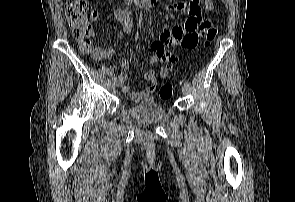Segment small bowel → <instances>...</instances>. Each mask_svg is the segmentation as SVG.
<instances>
[{
  "instance_id": "small-bowel-1",
  "label": "small bowel",
  "mask_w": 295,
  "mask_h": 202,
  "mask_svg": "<svg viewBox=\"0 0 295 202\" xmlns=\"http://www.w3.org/2000/svg\"><path fill=\"white\" fill-rule=\"evenodd\" d=\"M201 2L206 11L211 12L215 9L213 0H180L177 3L165 7V13L187 8L189 17L184 25H171L165 21L159 35V40L148 43V48H150L151 52H155L156 64H165L161 69L162 77H167L173 65L178 61V57L173 53L172 49L175 47L186 49L193 48L197 43L199 33L210 23V20L204 19L202 16ZM114 15L121 23L123 31L125 33H130L133 21L129 13L123 9H116ZM90 16L92 20H97L99 12L97 10H92ZM90 53L94 59L100 60L111 57L115 52L110 48L91 46ZM123 67L127 68L128 62L125 61ZM106 72L118 86H121L126 97L133 102H141L149 98L155 91L149 90V86L141 91H133L126 85V76L124 74L117 73L114 67H107ZM144 79L146 81H148V79H155V75H146L145 73Z\"/></svg>"
}]
</instances>
